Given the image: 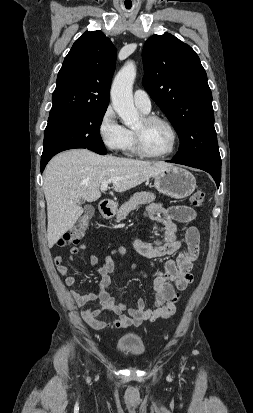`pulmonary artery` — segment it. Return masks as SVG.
<instances>
[{"label": "pulmonary artery", "mask_w": 253, "mask_h": 413, "mask_svg": "<svg viewBox=\"0 0 253 413\" xmlns=\"http://www.w3.org/2000/svg\"><path fill=\"white\" fill-rule=\"evenodd\" d=\"M134 103L144 113H148L151 110V100L149 95L141 89L134 92Z\"/></svg>", "instance_id": "1"}]
</instances>
